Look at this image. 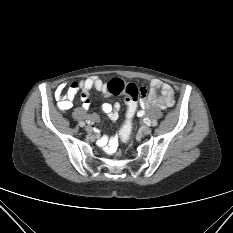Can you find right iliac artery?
Listing matches in <instances>:
<instances>
[{"label":"right iliac artery","mask_w":233,"mask_h":233,"mask_svg":"<svg viewBox=\"0 0 233 233\" xmlns=\"http://www.w3.org/2000/svg\"><path fill=\"white\" fill-rule=\"evenodd\" d=\"M79 125H80L81 127H83V126H85V123L81 121V122L79 123Z\"/></svg>","instance_id":"82829eb1"}]
</instances>
